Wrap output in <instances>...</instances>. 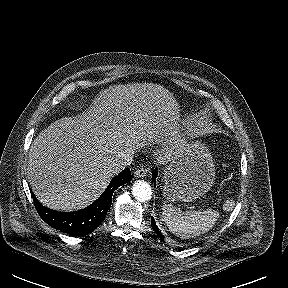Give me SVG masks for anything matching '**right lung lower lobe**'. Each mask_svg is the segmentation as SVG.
Returning <instances> with one entry per match:
<instances>
[{"label": "right lung lower lobe", "instance_id": "obj_1", "mask_svg": "<svg viewBox=\"0 0 288 288\" xmlns=\"http://www.w3.org/2000/svg\"><path fill=\"white\" fill-rule=\"evenodd\" d=\"M132 178L128 168L114 177L102 195L88 207L75 212H57L43 206L34 196L40 217L50 226L72 236H84L94 231L105 219L114 191Z\"/></svg>", "mask_w": 288, "mask_h": 288}]
</instances>
